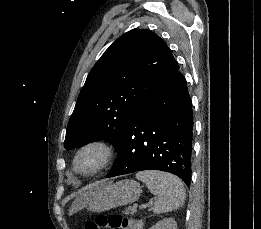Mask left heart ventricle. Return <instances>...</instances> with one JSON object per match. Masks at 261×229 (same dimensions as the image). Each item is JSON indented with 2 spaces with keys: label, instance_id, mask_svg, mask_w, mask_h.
Listing matches in <instances>:
<instances>
[{
  "label": "left heart ventricle",
  "instance_id": "obj_1",
  "mask_svg": "<svg viewBox=\"0 0 261 229\" xmlns=\"http://www.w3.org/2000/svg\"><path fill=\"white\" fill-rule=\"evenodd\" d=\"M97 162H98V156L95 153L86 154L81 159V165L87 169L94 167L97 164Z\"/></svg>",
  "mask_w": 261,
  "mask_h": 229
}]
</instances>
